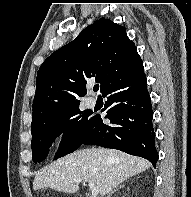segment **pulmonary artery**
Masks as SVG:
<instances>
[{
	"label": "pulmonary artery",
	"instance_id": "1",
	"mask_svg": "<svg viewBox=\"0 0 191 197\" xmlns=\"http://www.w3.org/2000/svg\"><path fill=\"white\" fill-rule=\"evenodd\" d=\"M87 102L90 107H94L96 104V99L94 97H88Z\"/></svg>",
	"mask_w": 191,
	"mask_h": 197
}]
</instances>
